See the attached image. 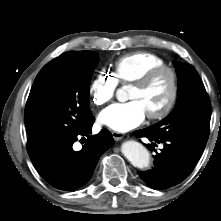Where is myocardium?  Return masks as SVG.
<instances>
[{"label": "myocardium", "instance_id": "myocardium-1", "mask_svg": "<svg viewBox=\"0 0 221 221\" xmlns=\"http://www.w3.org/2000/svg\"><path fill=\"white\" fill-rule=\"evenodd\" d=\"M163 74H167L170 77L171 93H170L167 103L160 111L147 114L148 118L152 120L164 119L171 113V111L175 107L177 100H178V96H179L178 73L173 67L168 66V65H162V66H159V67H156L147 71L146 73H144L142 76H140L137 80L133 82V86H136L139 88H146L155 79H157L159 76Z\"/></svg>", "mask_w": 221, "mask_h": 221}]
</instances>
